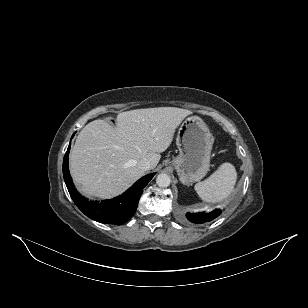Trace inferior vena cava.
Returning <instances> with one entry per match:
<instances>
[{
	"mask_svg": "<svg viewBox=\"0 0 308 308\" xmlns=\"http://www.w3.org/2000/svg\"><path fill=\"white\" fill-rule=\"evenodd\" d=\"M137 167L142 171H147L151 169V163L148 159L143 158L137 163Z\"/></svg>",
	"mask_w": 308,
	"mask_h": 308,
	"instance_id": "inferior-vena-cava-1",
	"label": "inferior vena cava"
}]
</instances>
